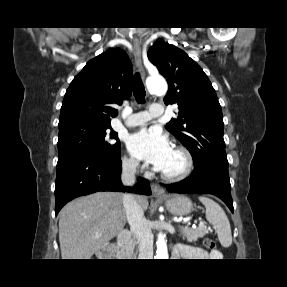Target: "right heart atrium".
Instances as JSON below:
<instances>
[{
	"mask_svg": "<svg viewBox=\"0 0 287 287\" xmlns=\"http://www.w3.org/2000/svg\"><path fill=\"white\" fill-rule=\"evenodd\" d=\"M123 166L126 170L135 172L139 168V162L133 156H125Z\"/></svg>",
	"mask_w": 287,
	"mask_h": 287,
	"instance_id": "1",
	"label": "right heart atrium"
}]
</instances>
